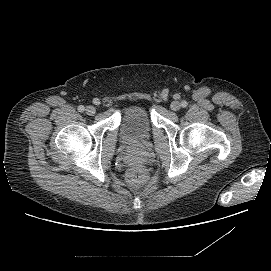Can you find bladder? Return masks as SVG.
<instances>
[{"instance_id": "obj_1", "label": "bladder", "mask_w": 271, "mask_h": 271, "mask_svg": "<svg viewBox=\"0 0 271 271\" xmlns=\"http://www.w3.org/2000/svg\"><path fill=\"white\" fill-rule=\"evenodd\" d=\"M151 127L150 114L142 105L128 107L121 117V137L131 146L143 144L151 134Z\"/></svg>"}]
</instances>
